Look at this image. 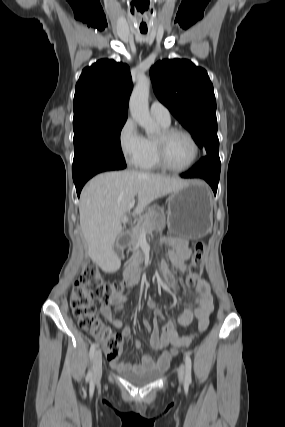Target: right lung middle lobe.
<instances>
[{
    "label": "right lung middle lobe",
    "instance_id": "obj_1",
    "mask_svg": "<svg viewBox=\"0 0 285 427\" xmlns=\"http://www.w3.org/2000/svg\"><path fill=\"white\" fill-rule=\"evenodd\" d=\"M126 119L91 115L74 118L75 155L72 173L97 157L125 162L120 147V132Z\"/></svg>",
    "mask_w": 285,
    "mask_h": 427
}]
</instances>
